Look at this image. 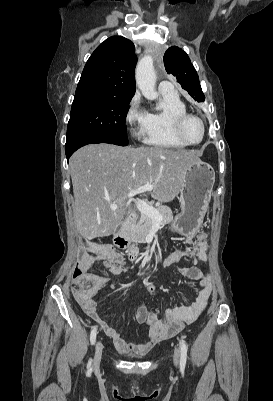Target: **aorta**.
I'll use <instances>...</instances> for the list:
<instances>
[{
    "label": "aorta",
    "mask_w": 273,
    "mask_h": 401,
    "mask_svg": "<svg viewBox=\"0 0 273 401\" xmlns=\"http://www.w3.org/2000/svg\"><path fill=\"white\" fill-rule=\"evenodd\" d=\"M135 77L136 84L143 96L148 100L156 99V74L154 71L153 59L150 56H144L138 62Z\"/></svg>",
    "instance_id": "1"
}]
</instances>
